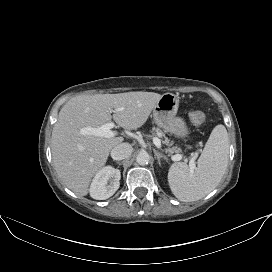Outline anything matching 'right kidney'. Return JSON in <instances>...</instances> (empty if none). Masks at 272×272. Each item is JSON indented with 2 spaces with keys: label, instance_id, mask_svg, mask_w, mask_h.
Returning <instances> with one entry per match:
<instances>
[{
  "label": "right kidney",
  "instance_id": "1",
  "mask_svg": "<svg viewBox=\"0 0 272 272\" xmlns=\"http://www.w3.org/2000/svg\"><path fill=\"white\" fill-rule=\"evenodd\" d=\"M120 179V170L111 166L102 168L90 185V196L96 200L108 199L119 189Z\"/></svg>",
  "mask_w": 272,
  "mask_h": 272
}]
</instances>
